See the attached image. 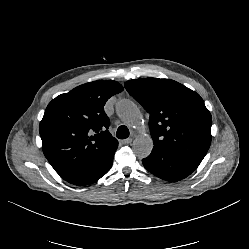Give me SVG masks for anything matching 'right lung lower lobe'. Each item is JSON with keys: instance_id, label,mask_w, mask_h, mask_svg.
<instances>
[{"instance_id": "obj_1", "label": "right lung lower lobe", "mask_w": 249, "mask_h": 249, "mask_svg": "<svg viewBox=\"0 0 249 249\" xmlns=\"http://www.w3.org/2000/svg\"><path fill=\"white\" fill-rule=\"evenodd\" d=\"M117 147L118 145L114 146L87 169L65 180L71 184L80 186L96 182L110 170Z\"/></svg>"}]
</instances>
